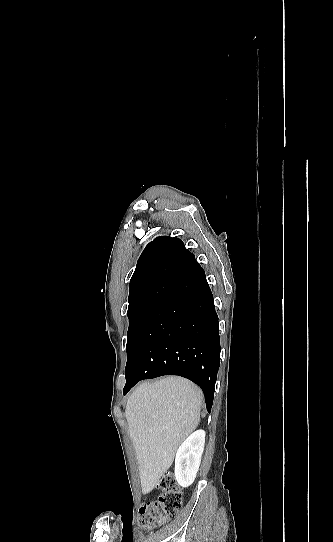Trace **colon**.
Listing matches in <instances>:
<instances>
[{
	"label": "colon",
	"mask_w": 333,
	"mask_h": 542,
	"mask_svg": "<svg viewBox=\"0 0 333 542\" xmlns=\"http://www.w3.org/2000/svg\"><path fill=\"white\" fill-rule=\"evenodd\" d=\"M158 485L162 492L140 508L141 524L146 529L171 519L182 506L183 495L173 474L163 475Z\"/></svg>",
	"instance_id": "colon-1"
}]
</instances>
